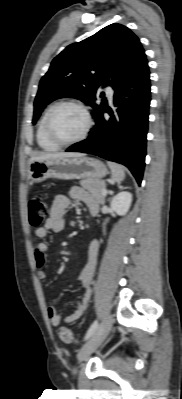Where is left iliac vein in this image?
Masks as SVG:
<instances>
[{
    "label": "left iliac vein",
    "mask_w": 182,
    "mask_h": 399,
    "mask_svg": "<svg viewBox=\"0 0 182 399\" xmlns=\"http://www.w3.org/2000/svg\"><path fill=\"white\" fill-rule=\"evenodd\" d=\"M111 315H108L88 341L81 347L78 353V362L87 359L104 341L111 327ZM77 369L74 370V373Z\"/></svg>",
    "instance_id": "1"
}]
</instances>
